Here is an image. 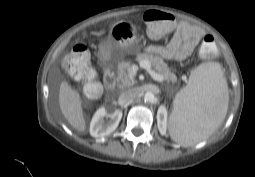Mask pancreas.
<instances>
[{"label":"pancreas","instance_id":"1","mask_svg":"<svg viewBox=\"0 0 255 177\" xmlns=\"http://www.w3.org/2000/svg\"><path fill=\"white\" fill-rule=\"evenodd\" d=\"M137 61L147 60L154 67L155 71L161 75L166 81L175 83L177 81L176 75L171 72L167 64L162 58L153 56L148 53H138L136 57ZM133 67V64L129 61H121L117 66L116 80L120 88H127L134 85V79L129 77V73Z\"/></svg>","mask_w":255,"mask_h":177}]
</instances>
